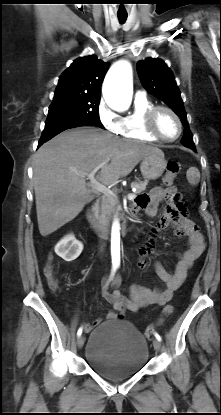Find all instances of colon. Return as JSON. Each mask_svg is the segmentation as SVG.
<instances>
[{"label":"colon","instance_id":"colon-1","mask_svg":"<svg viewBox=\"0 0 221 415\" xmlns=\"http://www.w3.org/2000/svg\"><path fill=\"white\" fill-rule=\"evenodd\" d=\"M179 169H180V165H179L178 162L169 161L167 163L166 172H165V175L163 177V181L167 186L172 185L174 179L176 178V176L179 172ZM51 261H52V256H49L48 263L45 267V275L48 279V283H49L50 287L55 289L57 287V278L54 274L53 266H52ZM173 311H174V307L172 305H166L164 307L163 311H162V315H161L159 321L156 324L149 326L145 331V335L150 336L152 334V332L155 330V328L158 327L159 325H161L164 322V320L169 315H171L173 313Z\"/></svg>","mask_w":221,"mask_h":415}]
</instances>
